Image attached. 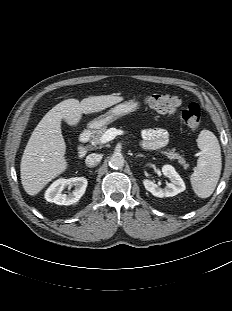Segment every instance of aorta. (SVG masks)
I'll return each instance as SVG.
<instances>
[{
  "instance_id": "aorta-1",
  "label": "aorta",
  "mask_w": 232,
  "mask_h": 311,
  "mask_svg": "<svg viewBox=\"0 0 232 311\" xmlns=\"http://www.w3.org/2000/svg\"><path fill=\"white\" fill-rule=\"evenodd\" d=\"M125 159L122 154H113L109 160V165L113 169H121L124 167Z\"/></svg>"
}]
</instances>
